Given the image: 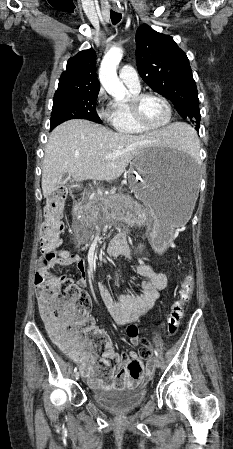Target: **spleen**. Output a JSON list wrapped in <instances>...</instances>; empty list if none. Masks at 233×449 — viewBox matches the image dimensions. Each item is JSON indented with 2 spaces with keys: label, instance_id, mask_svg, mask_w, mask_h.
Returning <instances> with one entry per match:
<instances>
[{
  "label": "spleen",
  "instance_id": "1",
  "mask_svg": "<svg viewBox=\"0 0 233 449\" xmlns=\"http://www.w3.org/2000/svg\"><path fill=\"white\" fill-rule=\"evenodd\" d=\"M183 125H185V134H181L179 141L174 142L175 147L187 153L198 150L199 143L195 132L188 126V124Z\"/></svg>",
  "mask_w": 233,
  "mask_h": 449
}]
</instances>
